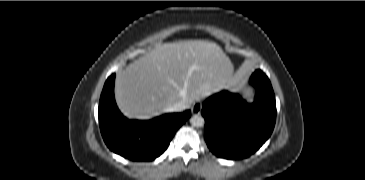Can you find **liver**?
Instances as JSON below:
<instances>
[{
    "label": "liver",
    "mask_w": 365,
    "mask_h": 180,
    "mask_svg": "<svg viewBox=\"0 0 365 180\" xmlns=\"http://www.w3.org/2000/svg\"><path fill=\"white\" fill-rule=\"evenodd\" d=\"M233 66L214 42L187 40L159 44L118 72L115 97L129 118L149 119L169 107L194 101L225 87Z\"/></svg>",
    "instance_id": "1"
}]
</instances>
